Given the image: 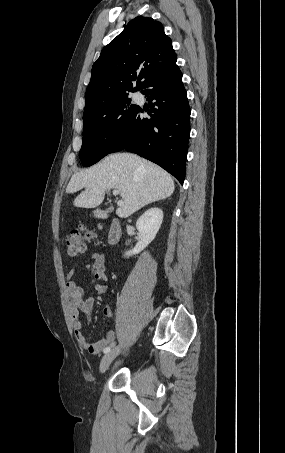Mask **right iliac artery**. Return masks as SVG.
<instances>
[{"mask_svg": "<svg viewBox=\"0 0 285 453\" xmlns=\"http://www.w3.org/2000/svg\"><path fill=\"white\" fill-rule=\"evenodd\" d=\"M114 345H115V343H112L110 346L112 347V346H114ZM110 346H109V347H106V348L104 349V353H108V352L110 351Z\"/></svg>", "mask_w": 285, "mask_h": 453, "instance_id": "1", "label": "right iliac artery"}]
</instances>
